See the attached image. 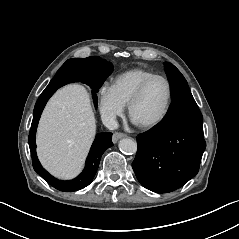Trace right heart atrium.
Segmentation results:
<instances>
[{
  "instance_id": "1",
  "label": "right heart atrium",
  "mask_w": 239,
  "mask_h": 239,
  "mask_svg": "<svg viewBox=\"0 0 239 239\" xmlns=\"http://www.w3.org/2000/svg\"><path fill=\"white\" fill-rule=\"evenodd\" d=\"M98 108L102 119L106 122L114 121L125 109L108 85H102L98 89Z\"/></svg>"
}]
</instances>
